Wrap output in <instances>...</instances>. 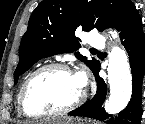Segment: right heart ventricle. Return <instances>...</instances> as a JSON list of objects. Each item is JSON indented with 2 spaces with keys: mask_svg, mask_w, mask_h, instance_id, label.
Here are the masks:
<instances>
[{
  "mask_svg": "<svg viewBox=\"0 0 145 124\" xmlns=\"http://www.w3.org/2000/svg\"><path fill=\"white\" fill-rule=\"evenodd\" d=\"M29 75H30V74H29ZM29 75L24 79V81H23L22 84L20 85V87H19V89H18V92H17L16 101H17V106H18V109H19V110H20V106H19L20 93H21L22 87H23L25 81L27 80V78L29 77Z\"/></svg>",
  "mask_w": 145,
  "mask_h": 124,
  "instance_id": "e07e8e85",
  "label": "right heart ventricle"
}]
</instances>
